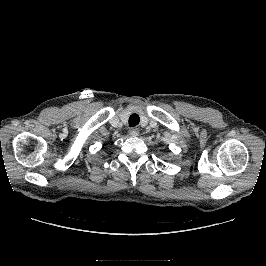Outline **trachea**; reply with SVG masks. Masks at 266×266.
<instances>
[{"label":"trachea","mask_w":266,"mask_h":266,"mask_svg":"<svg viewBox=\"0 0 266 266\" xmlns=\"http://www.w3.org/2000/svg\"><path fill=\"white\" fill-rule=\"evenodd\" d=\"M140 122V117L137 114H132L129 117V126L130 127H134L136 125H138Z\"/></svg>","instance_id":"1"}]
</instances>
